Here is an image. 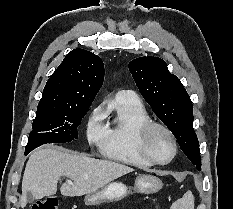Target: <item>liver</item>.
I'll return each instance as SVG.
<instances>
[{"instance_id": "1", "label": "liver", "mask_w": 233, "mask_h": 209, "mask_svg": "<svg viewBox=\"0 0 233 209\" xmlns=\"http://www.w3.org/2000/svg\"><path fill=\"white\" fill-rule=\"evenodd\" d=\"M134 169L113 162L90 158L84 154L69 153L59 148L46 147L33 151L26 163L22 179L20 206L25 208L27 193L38 200L57 192L61 176L73 181L63 183V196H83L103 188L113 180L133 172Z\"/></svg>"}]
</instances>
